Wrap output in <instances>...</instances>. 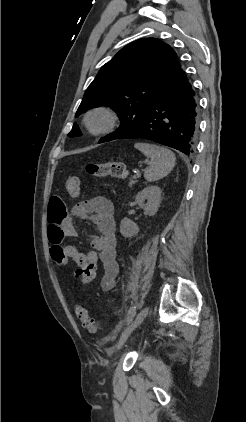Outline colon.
Listing matches in <instances>:
<instances>
[{"instance_id":"1","label":"colon","mask_w":246,"mask_h":422,"mask_svg":"<svg viewBox=\"0 0 246 422\" xmlns=\"http://www.w3.org/2000/svg\"><path fill=\"white\" fill-rule=\"evenodd\" d=\"M86 171L90 176L103 178V177H115L125 178L128 174L127 167L122 162H106L101 164H88ZM65 188L70 196L78 197L81 192L80 181L76 176H69L65 182ZM51 256L55 263L60 267H66L69 264V260L66 257L63 250L59 247L51 249ZM97 274V267L94 263H89L77 271V277L84 282L89 283L93 281ZM74 312L81 325L87 329L90 333H97L99 331V325L96 320L90 317L87 310L81 305L76 304Z\"/></svg>"}]
</instances>
